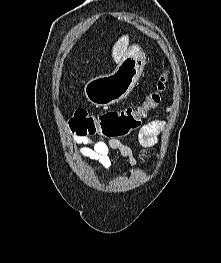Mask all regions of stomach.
<instances>
[{
	"label": "stomach",
	"instance_id": "0dacf381",
	"mask_svg": "<svg viewBox=\"0 0 221 263\" xmlns=\"http://www.w3.org/2000/svg\"><path fill=\"white\" fill-rule=\"evenodd\" d=\"M145 66V54L137 45L125 52L115 71L90 80L85 85L87 99L106 107L124 99L134 88Z\"/></svg>",
	"mask_w": 221,
	"mask_h": 263
}]
</instances>
